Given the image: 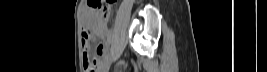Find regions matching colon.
Masks as SVG:
<instances>
[{
	"label": "colon",
	"mask_w": 267,
	"mask_h": 72,
	"mask_svg": "<svg viewBox=\"0 0 267 72\" xmlns=\"http://www.w3.org/2000/svg\"><path fill=\"white\" fill-rule=\"evenodd\" d=\"M115 0H89L90 7L97 11L104 18H108L112 11V4ZM90 45L88 44L83 48V59L85 60L83 63L85 72H93L97 65V57L91 55L89 51Z\"/></svg>",
	"instance_id": "colon-1"
}]
</instances>
